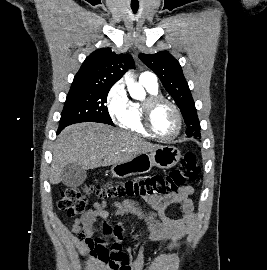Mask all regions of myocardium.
I'll return each instance as SVG.
<instances>
[{
    "mask_svg": "<svg viewBox=\"0 0 267 270\" xmlns=\"http://www.w3.org/2000/svg\"><path fill=\"white\" fill-rule=\"evenodd\" d=\"M160 103H166L172 107V109L175 112L176 118H177V129L174 135L170 137H163L160 134L156 132V130L153 127L152 124V112L153 109ZM141 119H142V124L146 131L154 138L171 143L175 141L181 134L182 131V115L180 112V109L178 106L171 101L170 99H167L166 97L158 94V95H150L148 96L143 102H142V109H141Z\"/></svg>",
    "mask_w": 267,
    "mask_h": 270,
    "instance_id": "obj_1",
    "label": "myocardium"
}]
</instances>
